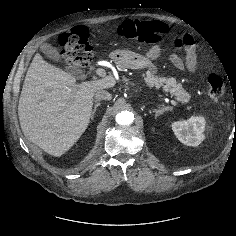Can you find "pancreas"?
<instances>
[{
    "mask_svg": "<svg viewBox=\"0 0 236 236\" xmlns=\"http://www.w3.org/2000/svg\"><path fill=\"white\" fill-rule=\"evenodd\" d=\"M157 73V68L154 65L149 66V70L144 78L146 84L150 87H156L159 89L163 87L164 92H170L171 96H174L178 102L187 103L190 101L191 95L182 87L180 83H177L175 78H164L154 76Z\"/></svg>",
    "mask_w": 236,
    "mask_h": 236,
    "instance_id": "pancreas-1",
    "label": "pancreas"
}]
</instances>
